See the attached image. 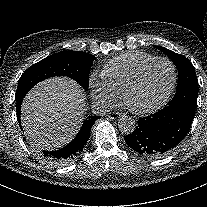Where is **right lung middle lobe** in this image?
Returning a JSON list of instances; mask_svg holds the SVG:
<instances>
[{"mask_svg": "<svg viewBox=\"0 0 207 207\" xmlns=\"http://www.w3.org/2000/svg\"><path fill=\"white\" fill-rule=\"evenodd\" d=\"M94 60L95 56L92 54L75 51H62L42 59L20 77L15 100L23 98L38 82L54 76L70 77L87 90L89 72Z\"/></svg>", "mask_w": 207, "mask_h": 207, "instance_id": "dd1d6c3e", "label": "right lung middle lobe"}]
</instances>
